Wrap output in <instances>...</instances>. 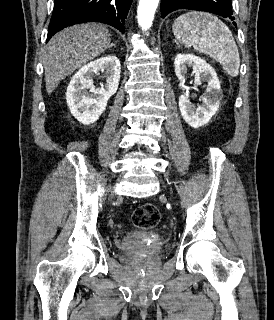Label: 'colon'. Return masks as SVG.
<instances>
[{"instance_id":"1","label":"colon","mask_w":274,"mask_h":320,"mask_svg":"<svg viewBox=\"0 0 274 320\" xmlns=\"http://www.w3.org/2000/svg\"><path fill=\"white\" fill-rule=\"evenodd\" d=\"M161 220L158 208L151 202H144L132 214L133 225L139 229H149L157 226Z\"/></svg>"}]
</instances>
